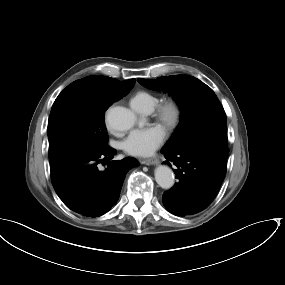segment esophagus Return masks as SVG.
I'll return each mask as SVG.
<instances>
[{
  "instance_id": "esophagus-1",
  "label": "esophagus",
  "mask_w": 285,
  "mask_h": 285,
  "mask_svg": "<svg viewBox=\"0 0 285 285\" xmlns=\"http://www.w3.org/2000/svg\"><path fill=\"white\" fill-rule=\"evenodd\" d=\"M140 163H142L144 165H157V164H159V160L153 159V158H148V159L140 160Z\"/></svg>"
}]
</instances>
